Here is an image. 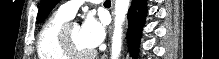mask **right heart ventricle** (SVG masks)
I'll use <instances>...</instances> for the list:
<instances>
[{"mask_svg":"<svg viewBox=\"0 0 219 59\" xmlns=\"http://www.w3.org/2000/svg\"><path fill=\"white\" fill-rule=\"evenodd\" d=\"M70 18L57 11L42 26L37 40L39 59H70L61 49L62 27Z\"/></svg>","mask_w":219,"mask_h":59,"instance_id":"obj_1","label":"right heart ventricle"}]
</instances>
